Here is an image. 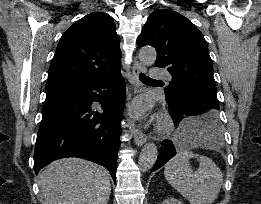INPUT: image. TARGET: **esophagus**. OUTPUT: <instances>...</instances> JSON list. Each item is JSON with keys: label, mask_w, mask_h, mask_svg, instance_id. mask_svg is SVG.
Instances as JSON below:
<instances>
[{"label": "esophagus", "mask_w": 261, "mask_h": 204, "mask_svg": "<svg viewBox=\"0 0 261 204\" xmlns=\"http://www.w3.org/2000/svg\"><path fill=\"white\" fill-rule=\"evenodd\" d=\"M145 67L135 58L132 68V75L135 86L140 85L139 74L145 72ZM134 142L137 146H142L147 141V136L139 128L134 127L132 130Z\"/></svg>", "instance_id": "1"}]
</instances>
